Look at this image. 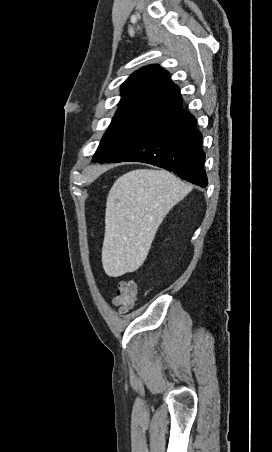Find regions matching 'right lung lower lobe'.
Listing matches in <instances>:
<instances>
[{
  "label": "right lung lower lobe",
  "instance_id": "1",
  "mask_svg": "<svg viewBox=\"0 0 272 452\" xmlns=\"http://www.w3.org/2000/svg\"><path fill=\"white\" fill-rule=\"evenodd\" d=\"M196 120L186 110L160 115L114 163L135 161L173 171L180 178L206 187L205 154Z\"/></svg>",
  "mask_w": 272,
  "mask_h": 452
}]
</instances>
